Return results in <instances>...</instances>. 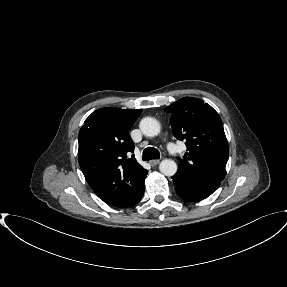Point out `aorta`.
<instances>
[{
  "mask_svg": "<svg viewBox=\"0 0 287 287\" xmlns=\"http://www.w3.org/2000/svg\"><path fill=\"white\" fill-rule=\"evenodd\" d=\"M140 130L148 137H155L160 133V123L152 117H144L140 121ZM159 170L165 176H173L177 172V164L171 159H164L159 165Z\"/></svg>",
  "mask_w": 287,
  "mask_h": 287,
  "instance_id": "obj_1",
  "label": "aorta"
}]
</instances>
